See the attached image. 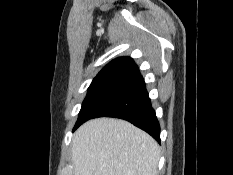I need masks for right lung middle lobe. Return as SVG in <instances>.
<instances>
[{
  "label": "right lung middle lobe",
  "mask_w": 233,
  "mask_h": 175,
  "mask_svg": "<svg viewBox=\"0 0 233 175\" xmlns=\"http://www.w3.org/2000/svg\"><path fill=\"white\" fill-rule=\"evenodd\" d=\"M134 81V79L124 77L95 78L88 88V93L82 103L75 128L91 118L101 108L128 88Z\"/></svg>",
  "instance_id": "obj_1"
}]
</instances>
